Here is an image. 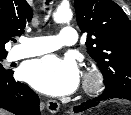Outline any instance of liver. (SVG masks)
Masks as SVG:
<instances>
[{"mask_svg": "<svg viewBox=\"0 0 131 115\" xmlns=\"http://www.w3.org/2000/svg\"><path fill=\"white\" fill-rule=\"evenodd\" d=\"M0 115H9L6 111L0 109Z\"/></svg>", "mask_w": 131, "mask_h": 115, "instance_id": "6515ba94", "label": "liver"}]
</instances>
